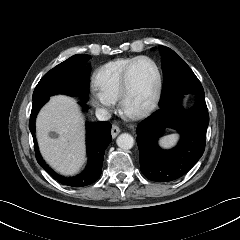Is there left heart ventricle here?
I'll use <instances>...</instances> for the list:
<instances>
[{
	"label": "left heart ventricle",
	"mask_w": 240,
	"mask_h": 240,
	"mask_svg": "<svg viewBox=\"0 0 240 240\" xmlns=\"http://www.w3.org/2000/svg\"><path fill=\"white\" fill-rule=\"evenodd\" d=\"M156 84V70L148 60L138 62L130 77V94L127 108L134 110L142 107L150 99Z\"/></svg>",
	"instance_id": "b2bd125f"
}]
</instances>
